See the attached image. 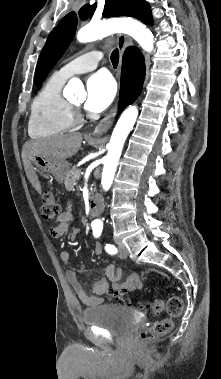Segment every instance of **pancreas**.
<instances>
[{
    "mask_svg": "<svg viewBox=\"0 0 221 379\" xmlns=\"http://www.w3.org/2000/svg\"><path fill=\"white\" fill-rule=\"evenodd\" d=\"M80 170L76 168H71L64 179V184L67 190H72L77 181L80 179Z\"/></svg>",
    "mask_w": 221,
    "mask_h": 379,
    "instance_id": "cf45deb5",
    "label": "pancreas"
}]
</instances>
